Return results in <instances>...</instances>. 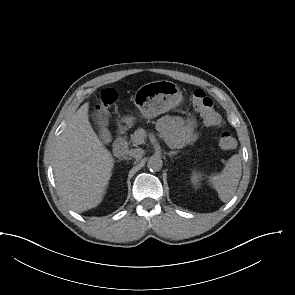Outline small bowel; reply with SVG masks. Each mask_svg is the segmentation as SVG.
I'll return each instance as SVG.
<instances>
[{
    "instance_id": "1",
    "label": "small bowel",
    "mask_w": 295,
    "mask_h": 295,
    "mask_svg": "<svg viewBox=\"0 0 295 295\" xmlns=\"http://www.w3.org/2000/svg\"><path fill=\"white\" fill-rule=\"evenodd\" d=\"M157 127L169 138L170 143L174 146L189 144L196 137L195 124L190 119L164 116L158 120Z\"/></svg>"
}]
</instances>
